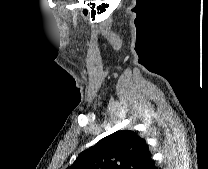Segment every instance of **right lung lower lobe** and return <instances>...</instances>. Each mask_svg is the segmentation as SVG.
I'll return each mask as SVG.
<instances>
[{
  "mask_svg": "<svg viewBox=\"0 0 208 169\" xmlns=\"http://www.w3.org/2000/svg\"><path fill=\"white\" fill-rule=\"evenodd\" d=\"M145 169H156L154 161L152 160Z\"/></svg>",
  "mask_w": 208,
  "mask_h": 169,
  "instance_id": "obj_1",
  "label": "right lung lower lobe"
}]
</instances>
